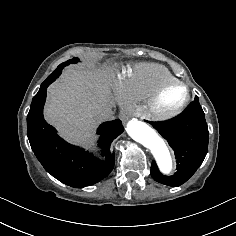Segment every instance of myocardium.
Segmentation results:
<instances>
[{
  "label": "myocardium",
  "mask_w": 236,
  "mask_h": 236,
  "mask_svg": "<svg viewBox=\"0 0 236 236\" xmlns=\"http://www.w3.org/2000/svg\"><path fill=\"white\" fill-rule=\"evenodd\" d=\"M175 87H182L184 89V96L182 100L171 109H163L161 107V100L164 94ZM191 99L190 88L188 85L180 80L168 81L161 84L150 98L146 101V112L152 121L166 122L179 116L189 105Z\"/></svg>",
  "instance_id": "obj_1"
}]
</instances>
